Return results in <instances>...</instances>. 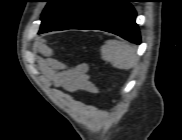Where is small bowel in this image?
<instances>
[{
	"label": "small bowel",
	"mask_w": 182,
	"mask_h": 140,
	"mask_svg": "<svg viewBox=\"0 0 182 140\" xmlns=\"http://www.w3.org/2000/svg\"><path fill=\"white\" fill-rule=\"evenodd\" d=\"M53 64L54 66L47 70V76L55 87L62 88L68 92L79 90L90 93L96 92V87L90 81L85 65L65 69L59 62H54Z\"/></svg>",
	"instance_id": "obj_1"
}]
</instances>
